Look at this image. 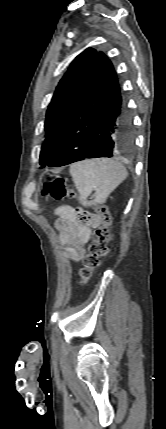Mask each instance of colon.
Returning a JSON list of instances; mask_svg holds the SVG:
<instances>
[{
  "label": "colon",
  "instance_id": "5ec220e1",
  "mask_svg": "<svg viewBox=\"0 0 166 429\" xmlns=\"http://www.w3.org/2000/svg\"><path fill=\"white\" fill-rule=\"evenodd\" d=\"M46 193L55 200H62L65 197H74V192L61 177L53 178L49 181ZM99 226L93 233V240L89 246L88 253L82 259V266L79 269V283H87L93 272L99 267L102 257L107 253V243L110 240L109 227L111 225V215L106 206L97 207Z\"/></svg>",
  "mask_w": 166,
  "mask_h": 429
}]
</instances>
